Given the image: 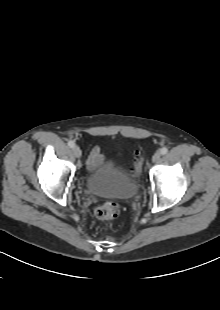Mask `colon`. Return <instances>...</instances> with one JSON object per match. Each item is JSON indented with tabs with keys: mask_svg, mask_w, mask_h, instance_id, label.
Returning a JSON list of instances; mask_svg holds the SVG:
<instances>
[{
	"mask_svg": "<svg viewBox=\"0 0 220 310\" xmlns=\"http://www.w3.org/2000/svg\"><path fill=\"white\" fill-rule=\"evenodd\" d=\"M143 157L141 153H137L134 162V174L138 175L141 172ZM120 212L119 205L116 202L108 201L98 206L95 210L96 218L100 220H112L118 217Z\"/></svg>",
	"mask_w": 220,
	"mask_h": 310,
	"instance_id": "1",
	"label": "colon"
}]
</instances>
